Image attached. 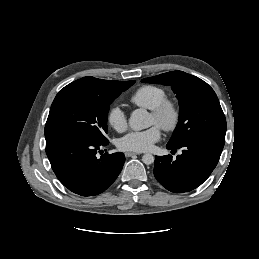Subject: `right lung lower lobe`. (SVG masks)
<instances>
[{"label":"right lung lower lobe","mask_w":259,"mask_h":259,"mask_svg":"<svg viewBox=\"0 0 259 259\" xmlns=\"http://www.w3.org/2000/svg\"><path fill=\"white\" fill-rule=\"evenodd\" d=\"M83 138H60L46 141V154L60 182L81 196L105 191L117 178L125 162L121 152L96 154L108 145Z\"/></svg>","instance_id":"98d812e1"}]
</instances>
